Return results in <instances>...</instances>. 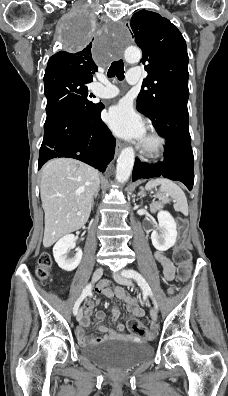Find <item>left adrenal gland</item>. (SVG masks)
<instances>
[{"mask_svg": "<svg viewBox=\"0 0 228 396\" xmlns=\"http://www.w3.org/2000/svg\"><path fill=\"white\" fill-rule=\"evenodd\" d=\"M138 196H140L141 199L146 196L143 187H141V191L138 193Z\"/></svg>", "mask_w": 228, "mask_h": 396, "instance_id": "obj_1", "label": "left adrenal gland"}]
</instances>
